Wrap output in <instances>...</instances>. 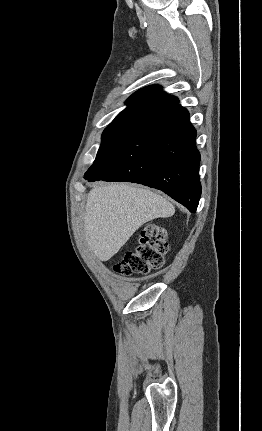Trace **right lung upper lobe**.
Listing matches in <instances>:
<instances>
[{
	"label": "right lung upper lobe",
	"mask_w": 262,
	"mask_h": 431,
	"mask_svg": "<svg viewBox=\"0 0 262 431\" xmlns=\"http://www.w3.org/2000/svg\"><path fill=\"white\" fill-rule=\"evenodd\" d=\"M178 99L152 85L135 92L127 100V108L120 112L110 125L132 126L150 116L178 105Z\"/></svg>",
	"instance_id": "1"
}]
</instances>
